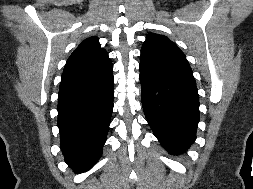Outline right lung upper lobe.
<instances>
[{"label": "right lung upper lobe", "instance_id": "1", "mask_svg": "<svg viewBox=\"0 0 253 189\" xmlns=\"http://www.w3.org/2000/svg\"><path fill=\"white\" fill-rule=\"evenodd\" d=\"M113 66L97 37H90L80 43L68 58L61 82H92L112 72Z\"/></svg>", "mask_w": 253, "mask_h": 189}]
</instances>
